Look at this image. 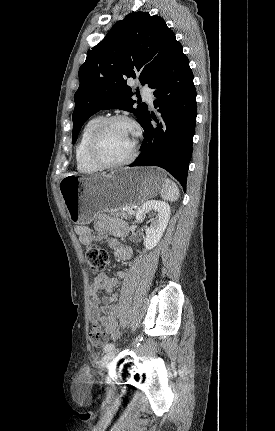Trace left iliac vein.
Segmentation results:
<instances>
[{"instance_id":"left-iliac-vein-1","label":"left iliac vein","mask_w":275,"mask_h":431,"mask_svg":"<svg viewBox=\"0 0 275 431\" xmlns=\"http://www.w3.org/2000/svg\"><path fill=\"white\" fill-rule=\"evenodd\" d=\"M116 353L117 352L115 350H113L110 353H106L101 358V360L99 362V369H100L101 372L104 371L105 369H107L111 365L112 361L114 360V358L116 356Z\"/></svg>"}]
</instances>
